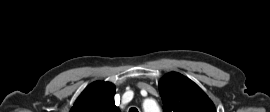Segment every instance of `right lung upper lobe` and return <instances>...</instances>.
I'll return each mask as SVG.
<instances>
[{
  "instance_id": "obj_1",
  "label": "right lung upper lobe",
  "mask_w": 270,
  "mask_h": 112,
  "mask_svg": "<svg viewBox=\"0 0 270 112\" xmlns=\"http://www.w3.org/2000/svg\"><path fill=\"white\" fill-rule=\"evenodd\" d=\"M115 86L94 82L78 97L70 112H121L114 103Z\"/></svg>"
}]
</instances>
